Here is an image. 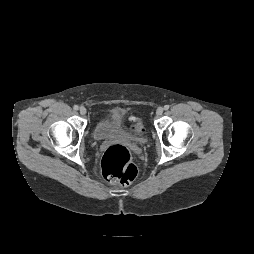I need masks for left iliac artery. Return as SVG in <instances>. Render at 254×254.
<instances>
[{
	"instance_id": "1",
	"label": "left iliac artery",
	"mask_w": 254,
	"mask_h": 254,
	"mask_svg": "<svg viewBox=\"0 0 254 254\" xmlns=\"http://www.w3.org/2000/svg\"><path fill=\"white\" fill-rule=\"evenodd\" d=\"M164 109H165V110H168V109H169V105H165V106H164Z\"/></svg>"
}]
</instances>
